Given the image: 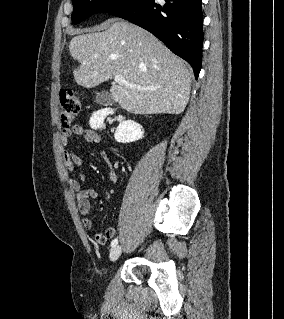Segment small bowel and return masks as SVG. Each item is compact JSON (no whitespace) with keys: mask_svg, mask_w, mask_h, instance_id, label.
Listing matches in <instances>:
<instances>
[{"mask_svg":"<svg viewBox=\"0 0 284 319\" xmlns=\"http://www.w3.org/2000/svg\"><path fill=\"white\" fill-rule=\"evenodd\" d=\"M72 135L81 136L88 143H100L101 141V136L96 131L85 129L81 125H73L63 129L61 136L62 144L67 145ZM101 155L103 158L108 159L105 152L102 151ZM64 163L69 171H74L76 167H81L84 161L77 153L65 152ZM84 179L85 175L81 172L79 178L70 179V186L76 192L77 207L83 216L82 225L84 229L91 230L93 227L92 220L89 218L92 210L91 199L97 196V191L93 188H82V181ZM109 180L113 183L117 182L118 175L114 170L110 171ZM115 233L116 230L113 227H109L104 233H95L93 239L97 244H105L107 240L115 236Z\"/></svg>","mask_w":284,"mask_h":319,"instance_id":"c3829d8e","label":"small bowel"}]
</instances>
